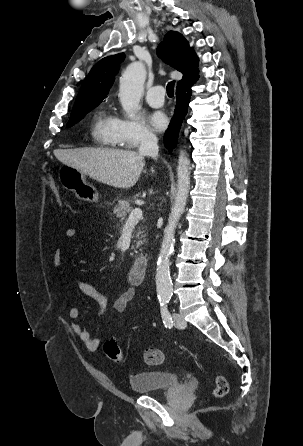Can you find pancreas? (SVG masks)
<instances>
[{"label": "pancreas", "instance_id": "pancreas-1", "mask_svg": "<svg viewBox=\"0 0 303 446\" xmlns=\"http://www.w3.org/2000/svg\"><path fill=\"white\" fill-rule=\"evenodd\" d=\"M132 210V207L130 203L127 200H119L118 204L114 207L113 212L116 214V218H118L121 222L125 220L127 217V214H129ZM144 230L142 228H138L136 232V238H137V247L141 246L144 243ZM132 249H134V246H132Z\"/></svg>", "mask_w": 303, "mask_h": 446}]
</instances>
